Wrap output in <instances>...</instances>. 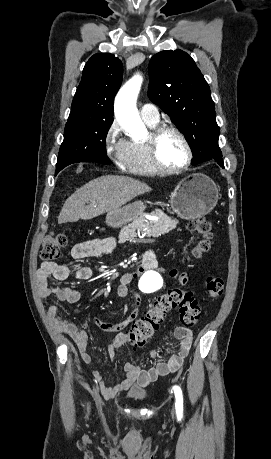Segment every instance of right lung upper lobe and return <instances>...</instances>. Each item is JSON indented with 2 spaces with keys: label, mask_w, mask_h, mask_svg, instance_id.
I'll list each match as a JSON object with an SVG mask.
<instances>
[{
  "label": "right lung upper lobe",
  "mask_w": 271,
  "mask_h": 459,
  "mask_svg": "<svg viewBox=\"0 0 271 459\" xmlns=\"http://www.w3.org/2000/svg\"><path fill=\"white\" fill-rule=\"evenodd\" d=\"M123 66L109 53L93 55L83 69L69 116L96 115L113 117L114 97L120 88Z\"/></svg>",
  "instance_id": "right-lung-upper-lobe-1"
}]
</instances>
